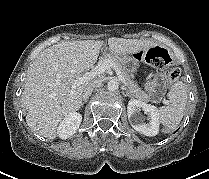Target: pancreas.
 I'll return each instance as SVG.
<instances>
[{
	"label": "pancreas",
	"instance_id": "obj_1",
	"mask_svg": "<svg viewBox=\"0 0 209 179\" xmlns=\"http://www.w3.org/2000/svg\"><path fill=\"white\" fill-rule=\"evenodd\" d=\"M104 60H112L115 63V66L120 70V72L125 80V85L127 86V91L132 97L137 98L138 100L144 101V102L150 101L149 95L145 91H143L137 85V83L131 79V77L126 72V70L122 64V58H120L118 56H114L112 54H107L103 58H101L100 62H102Z\"/></svg>",
	"mask_w": 209,
	"mask_h": 179
}]
</instances>
